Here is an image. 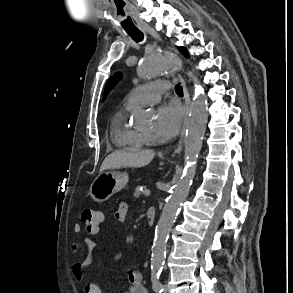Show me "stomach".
<instances>
[{"instance_id": "1", "label": "stomach", "mask_w": 293, "mask_h": 293, "mask_svg": "<svg viewBox=\"0 0 293 293\" xmlns=\"http://www.w3.org/2000/svg\"><path fill=\"white\" fill-rule=\"evenodd\" d=\"M128 183V175L120 172H104L90 186V196L98 203L108 200Z\"/></svg>"}]
</instances>
